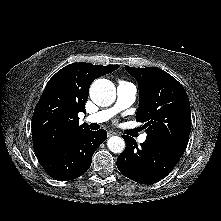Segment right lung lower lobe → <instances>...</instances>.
<instances>
[{"mask_svg": "<svg viewBox=\"0 0 221 221\" xmlns=\"http://www.w3.org/2000/svg\"><path fill=\"white\" fill-rule=\"evenodd\" d=\"M107 138L103 129H86L56 150L38 157L46 173L58 181H68L83 175L91 166L92 155Z\"/></svg>", "mask_w": 221, "mask_h": 221, "instance_id": "1", "label": "right lung lower lobe"}]
</instances>
